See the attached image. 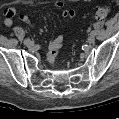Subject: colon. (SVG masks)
Returning a JSON list of instances; mask_svg holds the SVG:
<instances>
[{
    "label": "colon",
    "mask_w": 119,
    "mask_h": 119,
    "mask_svg": "<svg viewBox=\"0 0 119 119\" xmlns=\"http://www.w3.org/2000/svg\"><path fill=\"white\" fill-rule=\"evenodd\" d=\"M109 12H110L109 7H107V6H100L95 11V18L97 20H104V19H106L108 17Z\"/></svg>",
    "instance_id": "5ec220e1"
}]
</instances>
